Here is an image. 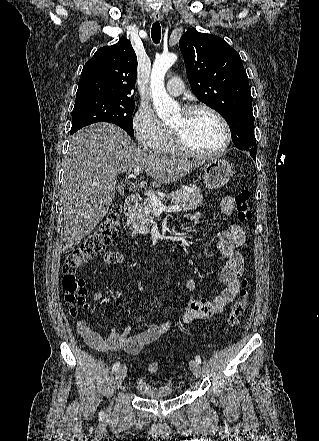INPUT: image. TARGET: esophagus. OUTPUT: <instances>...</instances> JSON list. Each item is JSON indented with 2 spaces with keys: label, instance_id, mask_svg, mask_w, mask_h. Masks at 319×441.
Wrapping results in <instances>:
<instances>
[{
  "label": "esophagus",
  "instance_id": "1",
  "mask_svg": "<svg viewBox=\"0 0 319 441\" xmlns=\"http://www.w3.org/2000/svg\"><path fill=\"white\" fill-rule=\"evenodd\" d=\"M152 17H153L154 21H162V19H163L162 15L157 11H154L152 13Z\"/></svg>",
  "mask_w": 319,
  "mask_h": 441
}]
</instances>
